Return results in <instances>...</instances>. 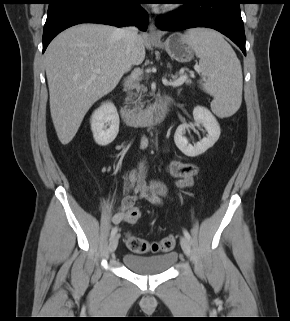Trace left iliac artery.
<instances>
[{
    "instance_id": "44dca946",
    "label": "left iliac artery",
    "mask_w": 290,
    "mask_h": 321,
    "mask_svg": "<svg viewBox=\"0 0 290 321\" xmlns=\"http://www.w3.org/2000/svg\"><path fill=\"white\" fill-rule=\"evenodd\" d=\"M183 233H184V235H185V237L188 239V240H190L191 239V236H190V234H189V232L187 231V230H183Z\"/></svg>"
}]
</instances>
